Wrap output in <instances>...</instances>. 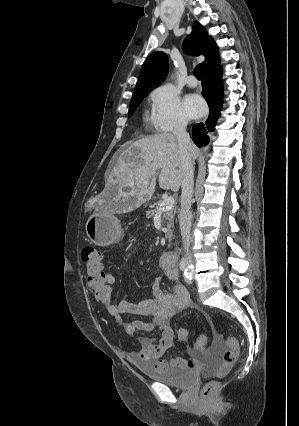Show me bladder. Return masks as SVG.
<instances>
[{
  "label": "bladder",
  "mask_w": 299,
  "mask_h": 426,
  "mask_svg": "<svg viewBox=\"0 0 299 426\" xmlns=\"http://www.w3.org/2000/svg\"><path fill=\"white\" fill-rule=\"evenodd\" d=\"M133 362L138 363L139 369L147 378L178 389H189L197 379L196 372L190 368L167 367L159 369L144 361Z\"/></svg>",
  "instance_id": "31cf9c89"
}]
</instances>
